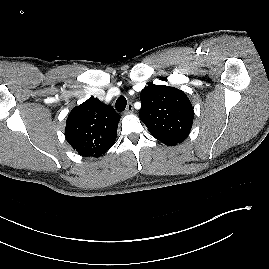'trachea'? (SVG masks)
Returning <instances> with one entry per match:
<instances>
[{"mask_svg": "<svg viewBox=\"0 0 269 269\" xmlns=\"http://www.w3.org/2000/svg\"><path fill=\"white\" fill-rule=\"evenodd\" d=\"M126 105H127V100H126V98H125L124 96H120V97L117 99V101H116V105H115V107H116V110H117L118 112H122V111L125 110Z\"/></svg>", "mask_w": 269, "mask_h": 269, "instance_id": "trachea-1", "label": "trachea"}]
</instances>
